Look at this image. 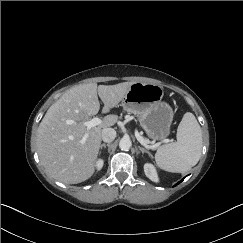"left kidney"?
<instances>
[{"label":"left kidney","mask_w":243,"mask_h":243,"mask_svg":"<svg viewBox=\"0 0 243 243\" xmlns=\"http://www.w3.org/2000/svg\"><path fill=\"white\" fill-rule=\"evenodd\" d=\"M144 172H145V175L152 181L154 182H158V175H157V172H156V169L155 167L150 164V163H146L144 165Z\"/></svg>","instance_id":"5707ae66"}]
</instances>
